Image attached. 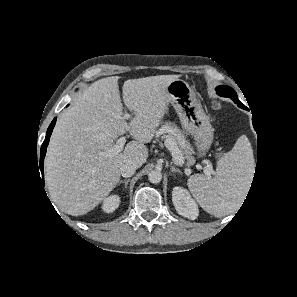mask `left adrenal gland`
Wrapping results in <instances>:
<instances>
[{
    "label": "left adrenal gland",
    "mask_w": 297,
    "mask_h": 297,
    "mask_svg": "<svg viewBox=\"0 0 297 297\" xmlns=\"http://www.w3.org/2000/svg\"><path fill=\"white\" fill-rule=\"evenodd\" d=\"M170 170L174 173H180V170L178 168H175V166L172 163L170 164Z\"/></svg>",
    "instance_id": "obj_1"
}]
</instances>
